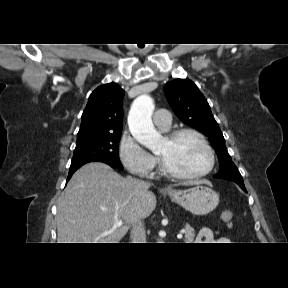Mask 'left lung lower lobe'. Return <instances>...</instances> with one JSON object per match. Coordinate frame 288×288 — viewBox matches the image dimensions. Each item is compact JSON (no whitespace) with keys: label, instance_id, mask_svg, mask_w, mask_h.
Wrapping results in <instances>:
<instances>
[{"label":"left lung lower lobe","instance_id":"left-lung-lower-lobe-1","mask_svg":"<svg viewBox=\"0 0 288 288\" xmlns=\"http://www.w3.org/2000/svg\"><path fill=\"white\" fill-rule=\"evenodd\" d=\"M245 192H247L246 191V189H245V186H244V184L243 185H239Z\"/></svg>","mask_w":288,"mask_h":288}]
</instances>
